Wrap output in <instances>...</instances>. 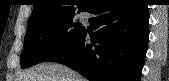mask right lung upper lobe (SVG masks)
<instances>
[{"label": "right lung upper lobe", "mask_w": 169, "mask_h": 81, "mask_svg": "<svg viewBox=\"0 0 169 81\" xmlns=\"http://www.w3.org/2000/svg\"><path fill=\"white\" fill-rule=\"evenodd\" d=\"M78 3V12H89L92 7V1L77 0H34L33 13L28 20V24L54 17L74 15Z\"/></svg>", "instance_id": "1"}]
</instances>
